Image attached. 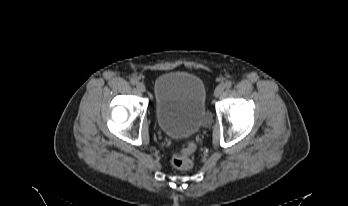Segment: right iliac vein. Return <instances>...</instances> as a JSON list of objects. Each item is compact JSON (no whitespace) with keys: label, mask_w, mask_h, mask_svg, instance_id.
I'll use <instances>...</instances> for the list:
<instances>
[{"label":"right iliac vein","mask_w":348,"mask_h":206,"mask_svg":"<svg viewBox=\"0 0 348 206\" xmlns=\"http://www.w3.org/2000/svg\"><path fill=\"white\" fill-rule=\"evenodd\" d=\"M136 89L139 92L143 93V92H145L146 87H145V85L143 83L139 82V83L136 84Z\"/></svg>","instance_id":"1"}]
</instances>
